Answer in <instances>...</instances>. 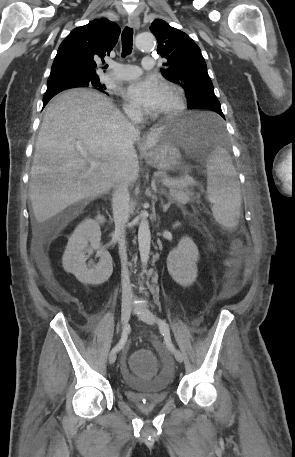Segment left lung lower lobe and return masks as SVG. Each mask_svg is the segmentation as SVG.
<instances>
[{
    "label": "left lung lower lobe",
    "mask_w": 295,
    "mask_h": 457,
    "mask_svg": "<svg viewBox=\"0 0 295 457\" xmlns=\"http://www.w3.org/2000/svg\"><path fill=\"white\" fill-rule=\"evenodd\" d=\"M194 108L209 109V110H212V111L218 113L220 116H222L224 118V115H223L222 110H221L220 102L211 101V100L200 101V102H197L195 104ZM207 129L209 130L210 133H214L215 132V127H214V125L212 123H208L207 124Z\"/></svg>",
    "instance_id": "obj_1"
}]
</instances>
